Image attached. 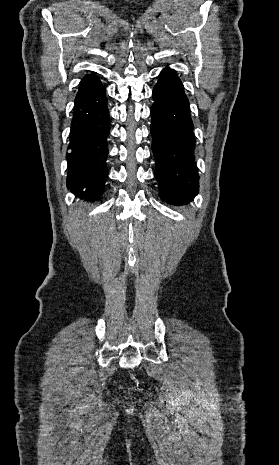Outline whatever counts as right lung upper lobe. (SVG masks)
Listing matches in <instances>:
<instances>
[{
	"instance_id": "1",
	"label": "right lung upper lobe",
	"mask_w": 279,
	"mask_h": 465,
	"mask_svg": "<svg viewBox=\"0 0 279 465\" xmlns=\"http://www.w3.org/2000/svg\"><path fill=\"white\" fill-rule=\"evenodd\" d=\"M95 78H97V76H95V75H93V74L87 75V76H85V77L82 79V81L80 82V84L89 82V81H91V80H93V79H95ZM80 84H79V85H80Z\"/></svg>"
}]
</instances>
